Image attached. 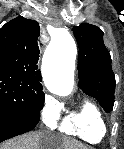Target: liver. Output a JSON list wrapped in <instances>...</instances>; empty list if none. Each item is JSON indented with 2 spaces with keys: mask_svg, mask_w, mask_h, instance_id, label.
<instances>
[{
  "mask_svg": "<svg viewBox=\"0 0 124 149\" xmlns=\"http://www.w3.org/2000/svg\"><path fill=\"white\" fill-rule=\"evenodd\" d=\"M42 145V146H41ZM86 149L81 143L66 137H58L47 132H32L7 141L0 149Z\"/></svg>",
  "mask_w": 124,
  "mask_h": 149,
  "instance_id": "liver-1",
  "label": "liver"
}]
</instances>
